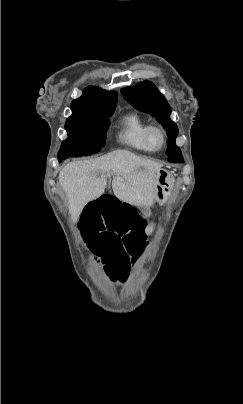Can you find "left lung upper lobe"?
I'll return each mask as SVG.
<instances>
[{"mask_svg": "<svg viewBox=\"0 0 243 404\" xmlns=\"http://www.w3.org/2000/svg\"><path fill=\"white\" fill-rule=\"evenodd\" d=\"M124 98L136 109L155 116L167 132L168 161L184 162L179 147L175 145L178 135V128L175 122L170 119L171 109L165 97L150 82H143L137 87H128L121 90Z\"/></svg>", "mask_w": 243, "mask_h": 404, "instance_id": "obj_1", "label": "left lung upper lobe"}]
</instances>
